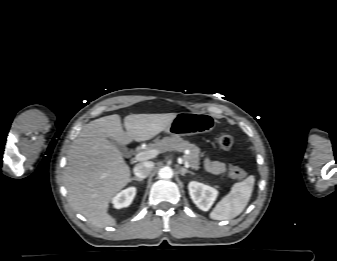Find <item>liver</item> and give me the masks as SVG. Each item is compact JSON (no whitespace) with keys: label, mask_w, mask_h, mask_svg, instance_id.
Instances as JSON below:
<instances>
[{"label":"liver","mask_w":337,"mask_h":261,"mask_svg":"<svg viewBox=\"0 0 337 261\" xmlns=\"http://www.w3.org/2000/svg\"><path fill=\"white\" fill-rule=\"evenodd\" d=\"M175 117L176 113L130 114L124 118L126 131L117 114L85 125L68 152L64 173L72 208L98 228L115 225L109 203L130 181L131 172L109 139L120 145L147 141L166 130Z\"/></svg>","instance_id":"liver-1"}]
</instances>
